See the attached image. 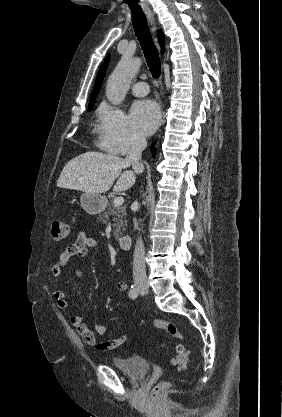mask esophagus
<instances>
[{
    "instance_id": "esophagus-1",
    "label": "esophagus",
    "mask_w": 282,
    "mask_h": 417,
    "mask_svg": "<svg viewBox=\"0 0 282 417\" xmlns=\"http://www.w3.org/2000/svg\"><path fill=\"white\" fill-rule=\"evenodd\" d=\"M145 13L147 14V17L149 19L150 24L151 25H154V23H155V17H154L153 12L151 10H147V11H145Z\"/></svg>"
}]
</instances>
